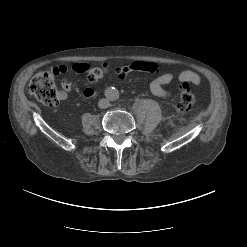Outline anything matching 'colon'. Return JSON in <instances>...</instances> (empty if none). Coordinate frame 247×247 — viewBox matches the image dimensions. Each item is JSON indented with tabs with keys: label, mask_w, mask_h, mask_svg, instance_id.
<instances>
[{
	"label": "colon",
	"mask_w": 247,
	"mask_h": 247,
	"mask_svg": "<svg viewBox=\"0 0 247 247\" xmlns=\"http://www.w3.org/2000/svg\"><path fill=\"white\" fill-rule=\"evenodd\" d=\"M107 73V66L93 67L87 72V80L94 84L98 82ZM29 92L38 100L48 106H56L59 101V93L54 83L53 74L47 71L37 73L29 83ZM195 94L187 84L179 86L177 110L186 114L190 112L195 105Z\"/></svg>",
	"instance_id": "colon-1"
}]
</instances>
